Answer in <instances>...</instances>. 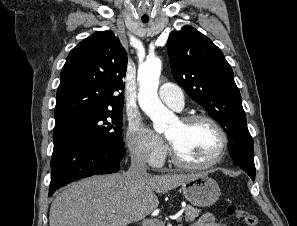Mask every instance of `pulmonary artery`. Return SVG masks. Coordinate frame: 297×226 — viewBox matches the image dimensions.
<instances>
[{
	"label": "pulmonary artery",
	"instance_id": "obj_1",
	"mask_svg": "<svg viewBox=\"0 0 297 226\" xmlns=\"http://www.w3.org/2000/svg\"><path fill=\"white\" fill-rule=\"evenodd\" d=\"M159 97L163 103L180 111L184 107V95L182 89L172 83H163L159 88Z\"/></svg>",
	"mask_w": 297,
	"mask_h": 226
}]
</instances>
